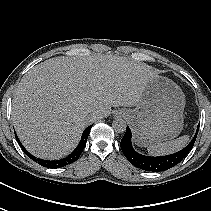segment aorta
<instances>
[{
	"mask_svg": "<svg viewBox=\"0 0 211 211\" xmlns=\"http://www.w3.org/2000/svg\"><path fill=\"white\" fill-rule=\"evenodd\" d=\"M126 122L123 119H116L112 123V128L117 133H123L126 131Z\"/></svg>",
	"mask_w": 211,
	"mask_h": 211,
	"instance_id": "1",
	"label": "aorta"
}]
</instances>
